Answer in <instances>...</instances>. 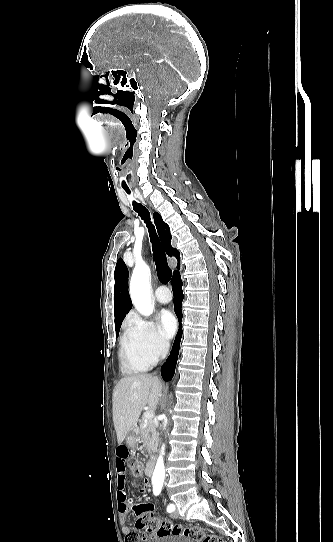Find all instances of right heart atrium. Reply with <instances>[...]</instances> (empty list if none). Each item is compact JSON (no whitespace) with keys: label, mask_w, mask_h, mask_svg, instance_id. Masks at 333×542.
I'll return each mask as SVG.
<instances>
[{"label":"right heart atrium","mask_w":333,"mask_h":542,"mask_svg":"<svg viewBox=\"0 0 333 542\" xmlns=\"http://www.w3.org/2000/svg\"><path fill=\"white\" fill-rule=\"evenodd\" d=\"M125 335L155 358L164 357L170 349L169 338L154 320L142 317L133 318Z\"/></svg>","instance_id":"obj_1"}]
</instances>
